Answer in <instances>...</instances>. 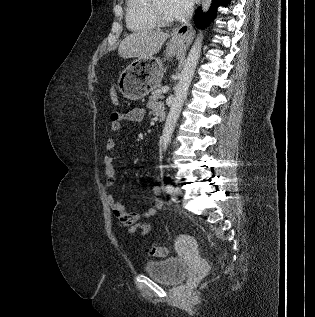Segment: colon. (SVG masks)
<instances>
[{
    "instance_id": "5ec220e1",
    "label": "colon",
    "mask_w": 315,
    "mask_h": 317,
    "mask_svg": "<svg viewBox=\"0 0 315 317\" xmlns=\"http://www.w3.org/2000/svg\"><path fill=\"white\" fill-rule=\"evenodd\" d=\"M111 99L114 104L118 103V97L115 91L111 92ZM149 253L156 257H166L169 251L164 246H153L149 249ZM224 257H225V254L223 253L220 258L223 259Z\"/></svg>"
}]
</instances>
